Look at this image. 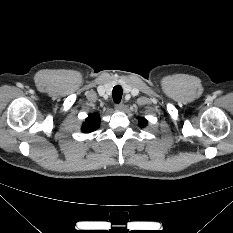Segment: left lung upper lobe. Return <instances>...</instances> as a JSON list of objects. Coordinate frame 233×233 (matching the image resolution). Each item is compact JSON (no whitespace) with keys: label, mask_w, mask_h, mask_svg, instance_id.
<instances>
[{"label":"left lung upper lobe","mask_w":233,"mask_h":233,"mask_svg":"<svg viewBox=\"0 0 233 233\" xmlns=\"http://www.w3.org/2000/svg\"><path fill=\"white\" fill-rule=\"evenodd\" d=\"M147 124V120L145 118H140L139 125L140 127H145Z\"/></svg>","instance_id":"left-lung-upper-lobe-1"}]
</instances>
